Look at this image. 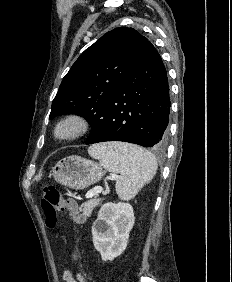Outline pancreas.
Segmentation results:
<instances>
[{"label":"pancreas","instance_id":"1","mask_svg":"<svg viewBox=\"0 0 232 282\" xmlns=\"http://www.w3.org/2000/svg\"><path fill=\"white\" fill-rule=\"evenodd\" d=\"M101 199H91L83 203L80 207V211L83 212L85 216H90L93 209L100 204Z\"/></svg>","mask_w":232,"mask_h":282}]
</instances>
